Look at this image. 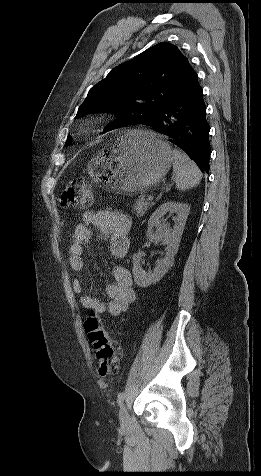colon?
<instances>
[{"label":"colon","mask_w":261,"mask_h":476,"mask_svg":"<svg viewBox=\"0 0 261 476\" xmlns=\"http://www.w3.org/2000/svg\"><path fill=\"white\" fill-rule=\"evenodd\" d=\"M59 202L67 209L89 207L93 202V196L88 181L84 178L69 181L60 194ZM84 328L95 349L99 375L105 377L117 373L121 356L120 347L108 335L95 312L91 311L87 315Z\"/></svg>","instance_id":"5ec220e1"}]
</instances>
